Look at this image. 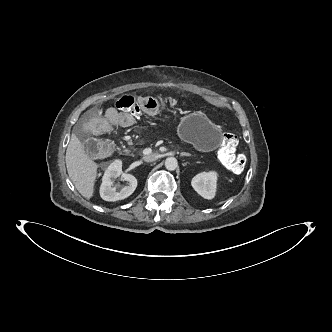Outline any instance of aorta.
Listing matches in <instances>:
<instances>
[{"instance_id":"1","label":"aorta","mask_w":332,"mask_h":332,"mask_svg":"<svg viewBox=\"0 0 332 332\" xmlns=\"http://www.w3.org/2000/svg\"><path fill=\"white\" fill-rule=\"evenodd\" d=\"M165 167L169 171L175 170L178 167L177 159L175 157H168L165 160Z\"/></svg>"}]
</instances>
